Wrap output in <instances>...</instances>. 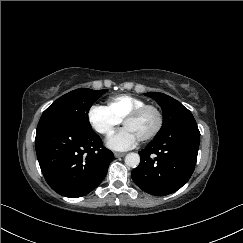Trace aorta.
<instances>
[{
  "instance_id": "1",
  "label": "aorta",
  "mask_w": 243,
  "mask_h": 243,
  "mask_svg": "<svg viewBox=\"0 0 243 243\" xmlns=\"http://www.w3.org/2000/svg\"><path fill=\"white\" fill-rule=\"evenodd\" d=\"M139 163H140V156H139V154L131 152V153H128L126 155V157H125V164L128 167L136 168V167H138Z\"/></svg>"
}]
</instances>
